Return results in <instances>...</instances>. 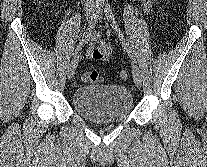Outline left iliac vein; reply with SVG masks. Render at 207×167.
Masks as SVG:
<instances>
[{
  "label": "left iliac vein",
  "mask_w": 207,
  "mask_h": 167,
  "mask_svg": "<svg viewBox=\"0 0 207 167\" xmlns=\"http://www.w3.org/2000/svg\"><path fill=\"white\" fill-rule=\"evenodd\" d=\"M102 19V16H100ZM132 74H133V80L137 87L141 86L142 83V77L139 68L136 65H133L132 68Z\"/></svg>",
  "instance_id": "1"
}]
</instances>
